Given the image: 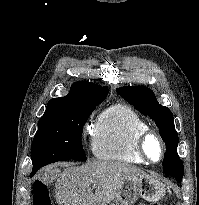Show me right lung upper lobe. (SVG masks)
Returning <instances> with one entry per match:
<instances>
[{"label":"right lung upper lobe","instance_id":"obj_1","mask_svg":"<svg viewBox=\"0 0 199 205\" xmlns=\"http://www.w3.org/2000/svg\"><path fill=\"white\" fill-rule=\"evenodd\" d=\"M108 94L107 87H101L91 82L77 81L72 84L68 95L51 99L46 110L57 106H65L84 100H104Z\"/></svg>","mask_w":199,"mask_h":205}]
</instances>
